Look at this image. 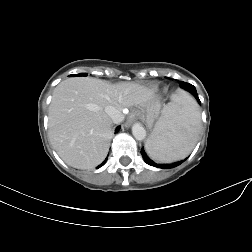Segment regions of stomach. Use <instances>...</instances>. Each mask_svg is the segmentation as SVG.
<instances>
[{
	"instance_id": "obj_1",
	"label": "stomach",
	"mask_w": 252,
	"mask_h": 252,
	"mask_svg": "<svg viewBox=\"0 0 252 252\" xmlns=\"http://www.w3.org/2000/svg\"><path fill=\"white\" fill-rule=\"evenodd\" d=\"M143 113L146 112V121L148 125H152L154 120L158 117L160 109L158 106H152L151 108L141 109Z\"/></svg>"
}]
</instances>
